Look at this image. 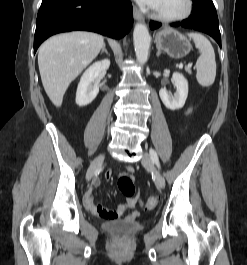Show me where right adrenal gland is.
I'll use <instances>...</instances> for the list:
<instances>
[{"label":"right adrenal gland","mask_w":247,"mask_h":265,"mask_svg":"<svg viewBox=\"0 0 247 265\" xmlns=\"http://www.w3.org/2000/svg\"><path fill=\"white\" fill-rule=\"evenodd\" d=\"M104 52H105L107 55H109L108 51L106 50L105 44H104V46H103V48H102L101 54L104 53Z\"/></svg>","instance_id":"2a0ac1e0"}]
</instances>
